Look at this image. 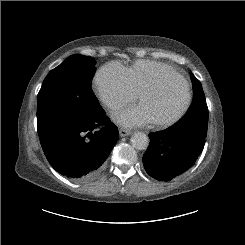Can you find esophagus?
I'll return each instance as SVG.
<instances>
[{
    "label": "esophagus",
    "instance_id": "esophagus-1",
    "mask_svg": "<svg viewBox=\"0 0 245 245\" xmlns=\"http://www.w3.org/2000/svg\"><path fill=\"white\" fill-rule=\"evenodd\" d=\"M119 134H120L121 137H125V136H128V135H131L132 132L130 130L121 128V129H119Z\"/></svg>",
    "mask_w": 245,
    "mask_h": 245
}]
</instances>
